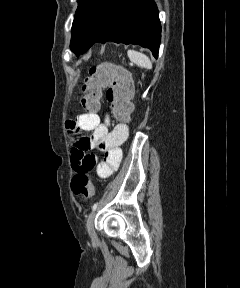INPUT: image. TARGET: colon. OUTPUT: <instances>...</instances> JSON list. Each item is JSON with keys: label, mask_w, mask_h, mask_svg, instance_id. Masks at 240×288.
I'll list each match as a JSON object with an SVG mask.
<instances>
[{"label": "colon", "mask_w": 240, "mask_h": 288, "mask_svg": "<svg viewBox=\"0 0 240 288\" xmlns=\"http://www.w3.org/2000/svg\"><path fill=\"white\" fill-rule=\"evenodd\" d=\"M112 104V112L118 120H127L133 110V85L129 72L110 63L90 68L81 87L80 103L89 113L100 109L103 89ZM72 191L82 200H89L94 194V186L87 174H76L72 179Z\"/></svg>", "instance_id": "5ec220e1"}]
</instances>
